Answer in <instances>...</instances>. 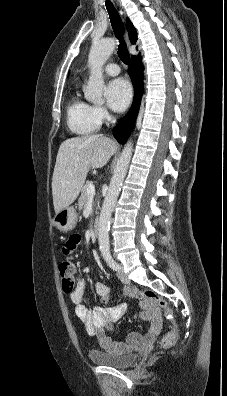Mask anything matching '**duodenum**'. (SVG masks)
I'll return each mask as SVG.
<instances>
[{
	"label": "duodenum",
	"instance_id": "410a0bca",
	"mask_svg": "<svg viewBox=\"0 0 227 396\" xmlns=\"http://www.w3.org/2000/svg\"><path fill=\"white\" fill-rule=\"evenodd\" d=\"M93 233L95 236H98L100 234V223L99 221H96L93 225Z\"/></svg>",
	"mask_w": 227,
	"mask_h": 396
}]
</instances>
